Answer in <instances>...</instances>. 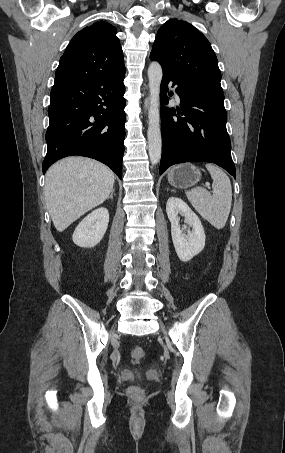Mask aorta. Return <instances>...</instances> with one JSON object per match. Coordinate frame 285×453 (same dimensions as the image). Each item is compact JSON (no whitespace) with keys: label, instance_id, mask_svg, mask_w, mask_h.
<instances>
[{"label":"aorta","instance_id":"aorta-1","mask_svg":"<svg viewBox=\"0 0 285 453\" xmlns=\"http://www.w3.org/2000/svg\"><path fill=\"white\" fill-rule=\"evenodd\" d=\"M162 67L154 61L148 68L150 107L148 111L149 125L147 130L148 151L152 165H156L161 159L162 138L160 131V85L162 80Z\"/></svg>","mask_w":285,"mask_h":453}]
</instances>
